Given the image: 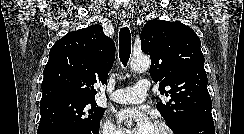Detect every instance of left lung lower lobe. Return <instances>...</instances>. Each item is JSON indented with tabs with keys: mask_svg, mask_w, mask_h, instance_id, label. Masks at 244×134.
<instances>
[{
	"mask_svg": "<svg viewBox=\"0 0 244 134\" xmlns=\"http://www.w3.org/2000/svg\"><path fill=\"white\" fill-rule=\"evenodd\" d=\"M174 134H215L213 120L190 118L185 120Z\"/></svg>",
	"mask_w": 244,
	"mask_h": 134,
	"instance_id": "0a47b994",
	"label": "left lung lower lobe"
}]
</instances>
